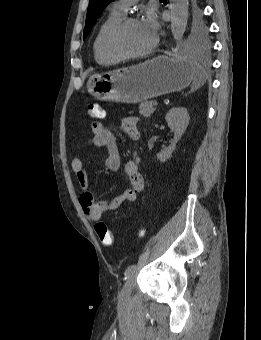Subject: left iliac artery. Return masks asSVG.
I'll return each instance as SVG.
<instances>
[{"instance_id": "left-iliac-artery-1", "label": "left iliac artery", "mask_w": 261, "mask_h": 340, "mask_svg": "<svg viewBox=\"0 0 261 340\" xmlns=\"http://www.w3.org/2000/svg\"><path fill=\"white\" fill-rule=\"evenodd\" d=\"M136 270V265H130L127 267V269L125 270V280H127Z\"/></svg>"}]
</instances>
